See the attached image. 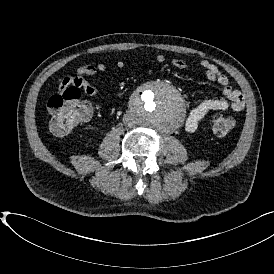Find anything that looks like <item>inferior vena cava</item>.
<instances>
[{
	"instance_id": "602c4592",
	"label": "inferior vena cava",
	"mask_w": 274,
	"mask_h": 274,
	"mask_svg": "<svg viewBox=\"0 0 274 274\" xmlns=\"http://www.w3.org/2000/svg\"><path fill=\"white\" fill-rule=\"evenodd\" d=\"M123 121H124V122H128V121L126 120V117L123 119ZM128 125H130V124L128 123Z\"/></svg>"
}]
</instances>
